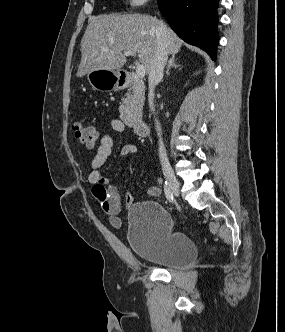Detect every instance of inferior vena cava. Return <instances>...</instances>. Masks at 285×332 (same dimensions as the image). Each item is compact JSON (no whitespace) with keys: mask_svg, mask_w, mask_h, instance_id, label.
<instances>
[{"mask_svg":"<svg viewBox=\"0 0 285 332\" xmlns=\"http://www.w3.org/2000/svg\"><path fill=\"white\" fill-rule=\"evenodd\" d=\"M157 35V50L155 53V57L153 59V63L150 68L149 72V94H148V100H149V107L151 111H155L154 107V89L156 84L159 80L163 77V70L167 63L168 59V42H167V34H166V25L160 21L159 26L157 27L156 31ZM156 130L159 136V157L161 162L167 163L168 158L165 150V146L163 144L162 138H161V127L160 123L156 120Z\"/></svg>","mask_w":285,"mask_h":332,"instance_id":"inferior-vena-cava-1","label":"inferior vena cava"}]
</instances>
